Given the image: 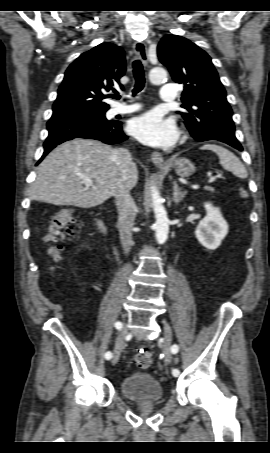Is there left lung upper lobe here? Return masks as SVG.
Returning <instances> with one entry per match:
<instances>
[{
	"mask_svg": "<svg viewBox=\"0 0 270 453\" xmlns=\"http://www.w3.org/2000/svg\"><path fill=\"white\" fill-rule=\"evenodd\" d=\"M157 49L173 80L184 85L182 116L194 138L236 141L232 109L209 55L178 35L164 36Z\"/></svg>",
	"mask_w": 270,
	"mask_h": 453,
	"instance_id": "5c2ea615",
	"label": "left lung upper lobe"
}]
</instances>
